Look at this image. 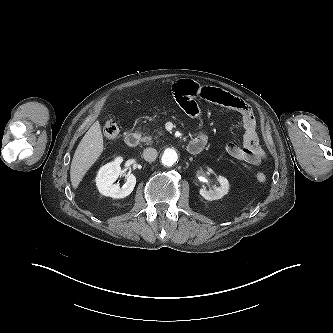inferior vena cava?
Here are the masks:
<instances>
[{
	"mask_svg": "<svg viewBox=\"0 0 333 333\" xmlns=\"http://www.w3.org/2000/svg\"><path fill=\"white\" fill-rule=\"evenodd\" d=\"M157 155H158L157 150L151 147L146 148L143 151V158L148 162H153L154 160H156Z\"/></svg>",
	"mask_w": 333,
	"mask_h": 333,
	"instance_id": "inferior-vena-cava-1",
	"label": "inferior vena cava"
}]
</instances>
